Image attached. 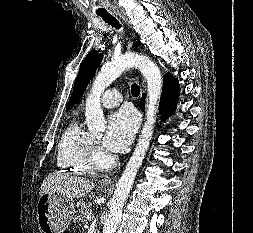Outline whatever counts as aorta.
<instances>
[{"instance_id": "aorta-1", "label": "aorta", "mask_w": 253, "mask_h": 233, "mask_svg": "<svg viewBox=\"0 0 253 233\" xmlns=\"http://www.w3.org/2000/svg\"><path fill=\"white\" fill-rule=\"evenodd\" d=\"M131 67L139 68L147 81L148 103L146 107V120L135 150L116 185V191L111 200V206L103 228V233H115L121 220L122 208L149 148L153 135V127L156 121L157 105L162 93L161 71L158 66L145 55H123L101 68L86 100L85 117L89 131L92 133H103L106 128V120L100 104L101 94L126 69Z\"/></svg>"}]
</instances>
